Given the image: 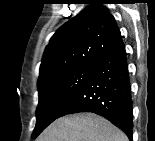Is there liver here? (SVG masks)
<instances>
[{"label": "liver", "mask_w": 155, "mask_h": 141, "mask_svg": "<svg viewBox=\"0 0 155 141\" xmlns=\"http://www.w3.org/2000/svg\"><path fill=\"white\" fill-rule=\"evenodd\" d=\"M39 141H128V138L105 118L79 113L58 118Z\"/></svg>", "instance_id": "liver-1"}]
</instances>
